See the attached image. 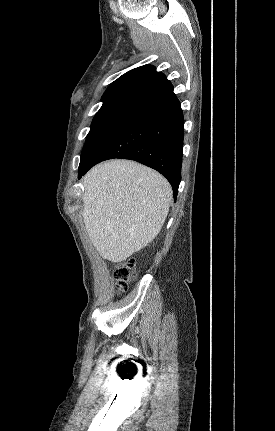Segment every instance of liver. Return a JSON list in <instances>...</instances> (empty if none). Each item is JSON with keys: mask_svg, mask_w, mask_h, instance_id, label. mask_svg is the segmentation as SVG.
Returning <instances> with one entry per match:
<instances>
[{"mask_svg": "<svg viewBox=\"0 0 275 431\" xmlns=\"http://www.w3.org/2000/svg\"><path fill=\"white\" fill-rule=\"evenodd\" d=\"M82 217L100 256L122 262L160 232L172 188L155 170L128 160L93 167L83 179Z\"/></svg>", "mask_w": 275, "mask_h": 431, "instance_id": "1", "label": "liver"}]
</instances>
